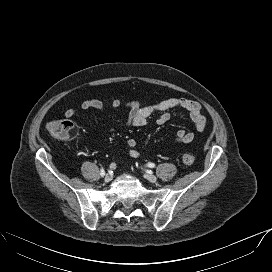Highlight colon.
I'll list each match as a JSON object with an SVG mask.
<instances>
[{
    "instance_id": "obj_1",
    "label": "colon",
    "mask_w": 272,
    "mask_h": 272,
    "mask_svg": "<svg viewBox=\"0 0 272 272\" xmlns=\"http://www.w3.org/2000/svg\"><path fill=\"white\" fill-rule=\"evenodd\" d=\"M48 133L58 140H73L77 136V128L69 119H58L50 122L47 125ZM182 160L185 164H192L195 157L191 153H184Z\"/></svg>"
}]
</instances>
